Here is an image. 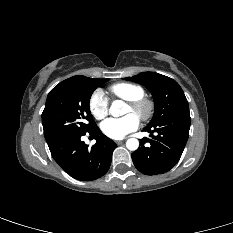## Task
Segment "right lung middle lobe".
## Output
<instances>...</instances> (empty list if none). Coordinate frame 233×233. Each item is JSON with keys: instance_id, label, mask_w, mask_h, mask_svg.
<instances>
[{"instance_id": "dd1d6c3e", "label": "right lung middle lobe", "mask_w": 233, "mask_h": 233, "mask_svg": "<svg viewBox=\"0 0 233 233\" xmlns=\"http://www.w3.org/2000/svg\"><path fill=\"white\" fill-rule=\"evenodd\" d=\"M108 79H80L58 84L48 94L42 124L48 144L76 134H84L96 126L90 113L89 101L94 90Z\"/></svg>"}]
</instances>
